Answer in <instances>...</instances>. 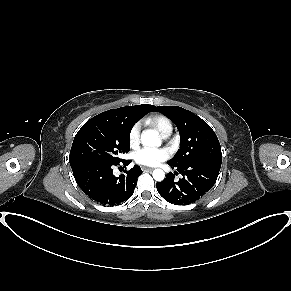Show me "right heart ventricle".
Returning <instances> with one entry per match:
<instances>
[{"label":"right heart ventricle","instance_id":"obj_1","mask_svg":"<svg viewBox=\"0 0 291 291\" xmlns=\"http://www.w3.org/2000/svg\"><path fill=\"white\" fill-rule=\"evenodd\" d=\"M148 124L157 129L162 135L167 131H172L171 121L164 115L156 114L147 119Z\"/></svg>","mask_w":291,"mask_h":291}]
</instances>
